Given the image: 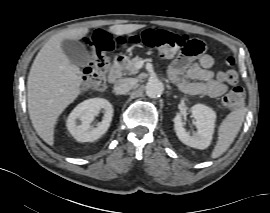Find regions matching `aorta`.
Listing matches in <instances>:
<instances>
[{"instance_id":"aorta-1","label":"aorta","mask_w":270,"mask_h":213,"mask_svg":"<svg viewBox=\"0 0 270 213\" xmlns=\"http://www.w3.org/2000/svg\"><path fill=\"white\" fill-rule=\"evenodd\" d=\"M164 90L163 83L158 79H150L145 87V91L148 97L157 98L161 96Z\"/></svg>"}]
</instances>
